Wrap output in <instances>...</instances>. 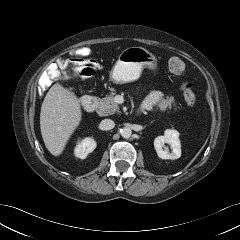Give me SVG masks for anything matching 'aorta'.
<instances>
[{
  "mask_svg": "<svg viewBox=\"0 0 240 240\" xmlns=\"http://www.w3.org/2000/svg\"><path fill=\"white\" fill-rule=\"evenodd\" d=\"M132 135V130L129 128V127H124L122 130H121V136L125 139H128L130 138Z\"/></svg>",
  "mask_w": 240,
  "mask_h": 240,
  "instance_id": "1",
  "label": "aorta"
}]
</instances>
